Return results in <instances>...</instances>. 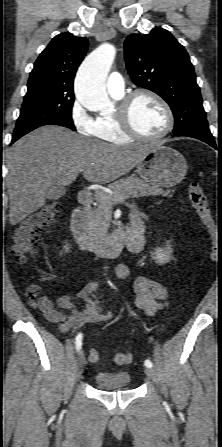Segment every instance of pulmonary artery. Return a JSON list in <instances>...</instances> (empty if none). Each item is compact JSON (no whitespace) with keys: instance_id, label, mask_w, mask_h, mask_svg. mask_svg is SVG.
<instances>
[{"instance_id":"e3ab8cb5","label":"pulmonary artery","mask_w":222,"mask_h":447,"mask_svg":"<svg viewBox=\"0 0 222 447\" xmlns=\"http://www.w3.org/2000/svg\"><path fill=\"white\" fill-rule=\"evenodd\" d=\"M125 83L124 79L118 72L110 74L107 80V89L111 95L121 96L124 92Z\"/></svg>"}]
</instances>
